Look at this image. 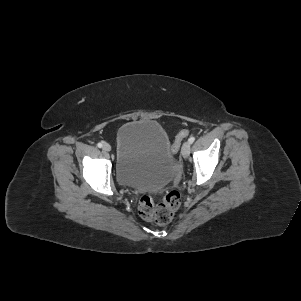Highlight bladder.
Segmentation results:
<instances>
[{
	"instance_id": "31cf9c89",
	"label": "bladder",
	"mask_w": 301,
	"mask_h": 301,
	"mask_svg": "<svg viewBox=\"0 0 301 301\" xmlns=\"http://www.w3.org/2000/svg\"><path fill=\"white\" fill-rule=\"evenodd\" d=\"M174 165L169 136L159 123L131 121L118 130L115 173L121 185L159 188L171 179Z\"/></svg>"
}]
</instances>
